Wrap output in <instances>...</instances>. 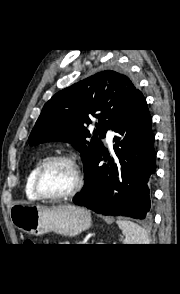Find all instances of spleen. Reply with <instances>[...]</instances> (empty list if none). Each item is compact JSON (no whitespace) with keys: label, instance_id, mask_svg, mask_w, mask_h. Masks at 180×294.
<instances>
[{"label":"spleen","instance_id":"1","mask_svg":"<svg viewBox=\"0 0 180 294\" xmlns=\"http://www.w3.org/2000/svg\"><path fill=\"white\" fill-rule=\"evenodd\" d=\"M117 225L124 235L123 244H149L148 233L140 225L128 220H118Z\"/></svg>","mask_w":180,"mask_h":294}]
</instances>
